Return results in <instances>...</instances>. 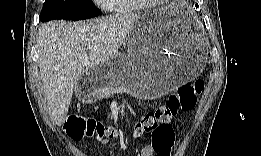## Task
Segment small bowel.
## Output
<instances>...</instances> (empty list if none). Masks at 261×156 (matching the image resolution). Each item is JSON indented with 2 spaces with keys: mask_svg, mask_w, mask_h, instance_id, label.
Listing matches in <instances>:
<instances>
[{
  "mask_svg": "<svg viewBox=\"0 0 261 156\" xmlns=\"http://www.w3.org/2000/svg\"><path fill=\"white\" fill-rule=\"evenodd\" d=\"M75 120L76 119V115H72L70 117V120ZM98 143L105 145L107 142L105 141H98ZM169 154V153H168ZM168 154L164 155V156H168ZM140 156H154V155H159L157 150L155 149L153 143L146 145L142 148V150L140 151Z\"/></svg>",
  "mask_w": 261,
  "mask_h": 156,
  "instance_id": "c3829d8e",
  "label": "small bowel"
}]
</instances>
